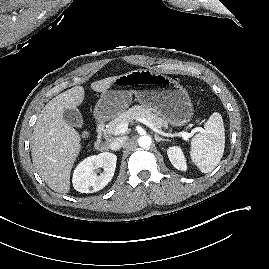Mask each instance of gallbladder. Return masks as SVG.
Here are the masks:
<instances>
[{
	"instance_id": "gallbladder-1",
	"label": "gallbladder",
	"mask_w": 269,
	"mask_h": 269,
	"mask_svg": "<svg viewBox=\"0 0 269 269\" xmlns=\"http://www.w3.org/2000/svg\"><path fill=\"white\" fill-rule=\"evenodd\" d=\"M63 119L71 126L81 128L83 126V117L80 111L76 108L65 109Z\"/></svg>"
}]
</instances>
